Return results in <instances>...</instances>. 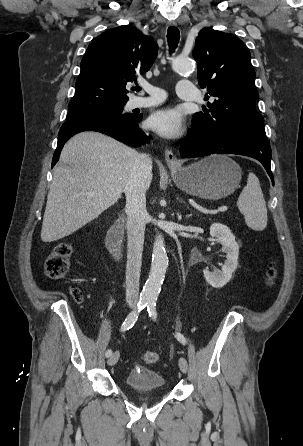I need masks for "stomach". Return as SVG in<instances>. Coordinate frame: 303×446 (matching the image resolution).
Masks as SVG:
<instances>
[{
    "label": "stomach",
    "mask_w": 303,
    "mask_h": 446,
    "mask_svg": "<svg viewBox=\"0 0 303 446\" xmlns=\"http://www.w3.org/2000/svg\"><path fill=\"white\" fill-rule=\"evenodd\" d=\"M176 186L188 194L218 200L232 194L242 177L240 166L225 155H211L187 167H170Z\"/></svg>",
    "instance_id": "1"
}]
</instances>
